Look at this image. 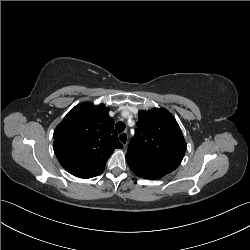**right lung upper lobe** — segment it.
<instances>
[{
	"label": "right lung upper lobe",
	"mask_w": 250,
	"mask_h": 250,
	"mask_svg": "<svg viewBox=\"0 0 250 250\" xmlns=\"http://www.w3.org/2000/svg\"><path fill=\"white\" fill-rule=\"evenodd\" d=\"M53 137L60 164L79 178L101 174L114 150L123 147L104 104H78L56 127Z\"/></svg>",
	"instance_id": "right-lung-upper-lobe-1"
}]
</instances>
